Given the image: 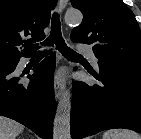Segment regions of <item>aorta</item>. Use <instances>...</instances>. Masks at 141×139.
<instances>
[{"mask_svg":"<svg viewBox=\"0 0 141 139\" xmlns=\"http://www.w3.org/2000/svg\"><path fill=\"white\" fill-rule=\"evenodd\" d=\"M83 15L78 10H69L65 14L67 24H80ZM70 114H71V93L66 89L57 105L54 125V139H71L70 134Z\"/></svg>","mask_w":141,"mask_h":139,"instance_id":"762f6f07","label":"aorta"}]
</instances>
